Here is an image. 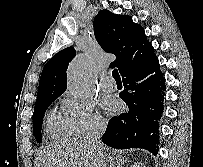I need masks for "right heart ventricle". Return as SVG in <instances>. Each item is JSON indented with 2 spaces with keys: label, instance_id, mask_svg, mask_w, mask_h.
<instances>
[{
  "label": "right heart ventricle",
  "instance_id": "1",
  "mask_svg": "<svg viewBox=\"0 0 203 167\" xmlns=\"http://www.w3.org/2000/svg\"><path fill=\"white\" fill-rule=\"evenodd\" d=\"M46 132L51 139H66L72 135L64 118L56 110L47 117Z\"/></svg>",
  "mask_w": 203,
  "mask_h": 167
}]
</instances>
